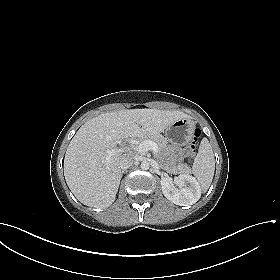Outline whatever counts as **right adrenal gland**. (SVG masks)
Segmentation results:
<instances>
[{
	"instance_id": "1",
	"label": "right adrenal gland",
	"mask_w": 280,
	"mask_h": 280,
	"mask_svg": "<svg viewBox=\"0 0 280 280\" xmlns=\"http://www.w3.org/2000/svg\"><path fill=\"white\" fill-rule=\"evenodd\" d=\"M123 173H125V171H124V170H122V174H123Z\"/></svg>"
}]
</instances>
